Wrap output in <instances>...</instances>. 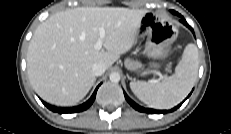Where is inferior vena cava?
I'll return each instance as SVG.
<instances>
[{
  "label": "inferior vena cava",
  "instance_id": "1",
  "mask_svg": "<svg viewBox=\"0 0 231 134\" xmlns=\"http://www.w3.org/2000/svg\"><path fill=\"white\" fill-rule=\"evenodd\" d=\"M92 71L95 76H101L106 71V66L101 62L94 63L92 65Z\"/></svg>",
  "mask_w": 231,
  "mask_h": 134
}]
</instances>
